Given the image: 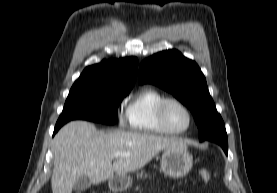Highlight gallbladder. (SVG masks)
<instances>
[{
  "label": "gallbladder",
  "instance_id": "obj_1",
  "mask_svg": "<svg viewBox=\"0 0 277 193\" xmlns=\"http://www.w3.org/2000/svg\"><path fill=\"white\" fill-rule=\"evenodd\" d=\"M91 181L89 180L88 177L82 176L79 179L76 180L74 184V190H76L78 193H81L82 191H85L90 188L91 186Z\"/></svg>",
  "mask_w": 277,
  "mask_h": 193
}]
</instances>
